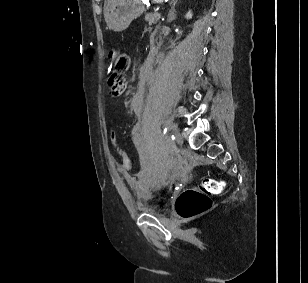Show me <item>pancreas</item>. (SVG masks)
I'll return each mask as SVG.
<instances>
[{"label": "pancreas", "instance_id": "cf45deb5", "mask_svg": "<svg viewBox=\"0 0 308 283\" xmlns=\"http://www.w3.org/2000/svg\"><path fill=\"white\" fill-rule=\"evenodd\" d=\"M145 21H147L149 25H152L158 21V17L155 13H148L145 15Z\"/></svg>", "mask_w": 308, "mask_h": 283}]
</instances>
